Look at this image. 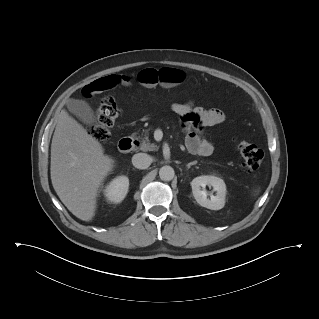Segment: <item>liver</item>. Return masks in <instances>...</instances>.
<instances>
[{"label": "liver", "mask_w": 319, "mask_h": 319, "mask_svg": "<svg viewBox=\"0 0 319 319\" xmlns=\"http://www.w3.org/2000/svg\"><path fill=\"white\" fill-rule=\"evenodd\" d=\"M114 163L98 140L62 110L51 144V181L62 203L77 218L93 219L99 189Z\"/></svg>", "instance_id": "6515ba94"}]
</instances>
